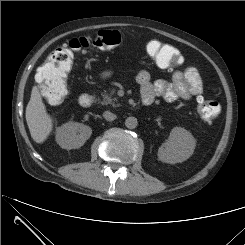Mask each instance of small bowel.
Segmentation results:
<instances>
[{
	"label": "small bowel",
	"mask_w": 245,
	"mask_h": 245,
	"mask_svg": "<svg viewBox=\"0 0 245 245\" xmlns=\"http://www.w3.org/2000/svg\"><path fill=\"white\" fill-rule=\"evenodd\" d=\"M140 86L142 101L150 104L156 98H162L167 102L177 100H190L201 98L203 84L197 69L188 66L183 70H175L172 74V81L165 80L152 81L148 71L141 70L136 77Z\"/></svg>",
	"instance_id": "small-bowel-1"
}]
</instances>
